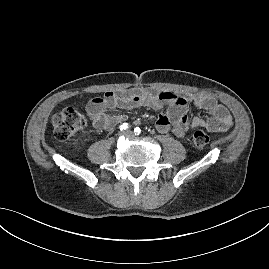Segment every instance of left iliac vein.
Returning a JSON list of instances; mask_svg holds the SVG:
<instances>
[{"label":"left iliac vein","instance_id":"left-iliac-vein-1","mask_svg":"<svg viewBox=\"0 0 269 269\" xmlns=\"http://www.w3.org/2000/svg\"><path fill=\"white\" fill-rule=\"evenodd\" d=\"M125 134H126L127 136H129V137H132V136H133V133H132L131 131H127V132H125Z\"/></svg>","mask_w":269,"mask_h":269}]
</instances>
